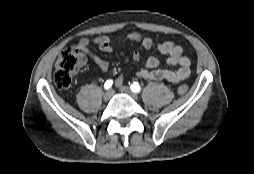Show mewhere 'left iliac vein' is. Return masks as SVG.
I'll use <instances>...</instances> for the list:
<instances>
[{
	"instance_id": "left-iliac-vein-1",
	"label": "left iliac vein",
	"mask_w": 254,
	"mask_h": 174,
	"mask_svg": "<svg viewBox=\"0 0 254 174\" xmlns=\"http://www.w3.org/2000/svg\"><path fill=\"white\" fill-rule=\"evenodd\" d=\"M119 90H120L122 93H125V94L129 95V96L132 97L133 99H137V98H138V96H137L135 93L131 92V90H130L127 86H120V87H119Z\"/></svg>"
}]
</instances>
